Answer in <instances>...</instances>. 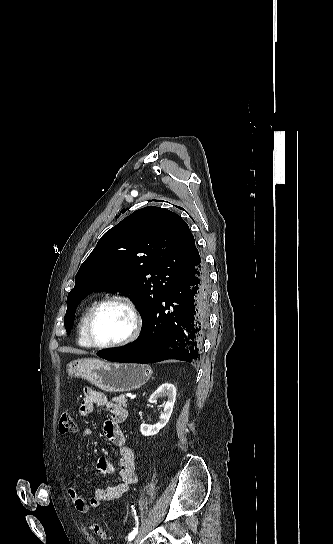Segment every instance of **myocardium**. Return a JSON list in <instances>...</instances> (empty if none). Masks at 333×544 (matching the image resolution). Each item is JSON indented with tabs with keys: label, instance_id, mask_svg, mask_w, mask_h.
<instances>
[{
	"label": "myocardium",
	"instance_id": "f54148a6",
	"mask_svg": "<svg viewBox=\"0 0 333 544\" xmlns=\"http://www.w3.org/2000/svg\"><path fill=\"white\" fill-rule=\"evenodd\" d=\"M111 302H120L124 304L130 310L133 317V327L129 335L125 337L124 339L117 342H113V343L101 344V343H98L94 339V336L92 333V326H93L94 319L96 315L98 314V312L101 310V308ZM142 327H143L142 314L137 304L135 303V301L129 296H126L123 294H114V295L104 297L93 306V308L89 312L86 319L85 334H86V338L88 342L90 343L92 347L97 349H114V348L126 346L132 343L133 341H135L140 335Z\"/></svg>",
	"mask_w": 333,
	"mask_h": 544
}]
</instances>
